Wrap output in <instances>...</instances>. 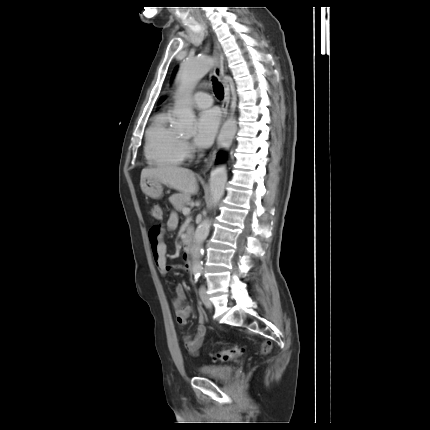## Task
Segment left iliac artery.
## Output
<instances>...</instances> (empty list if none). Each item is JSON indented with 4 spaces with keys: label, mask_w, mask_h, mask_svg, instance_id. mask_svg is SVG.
Here are the masks:
<instances>
[{
    "label": "left iliac artery",
    "mask_w": 430,
    "mask_h": 430,
    "mask_svg": "<svg viewBox=\"0 0 430 430\" xmlns=\"http://www.w3.org/2000/svg\"><path fill=\"white\" fill-rule=\"evenodd\" d=\"M201 273H202V271H201V270L196 271V274H198L199 276L201 275Z\"/></svg>",
    "instance_id": "1"
}]
</instances>
